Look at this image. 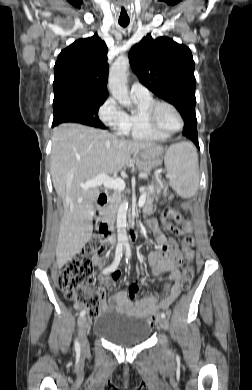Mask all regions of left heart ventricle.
<instances>
[{"label": "left heart ventricle", "mask_w": 252, "mask_h": 390, "mask_svg": "<svg viewBox=\"0 0 252 390\" xmlns=\"http://www.w3.org/2000/svg\"><path fill=\"white\" fill-rule=\"evenodd\" d=\"M159 125L165 130H174L179 126V120L175 112L169 107L163 106L157 115Z\"/></svg>", "instance_id": "obj_1"}]
</instances>
